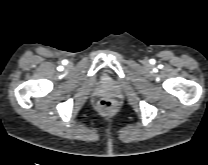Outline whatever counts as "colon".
Masks as SVG:
<instances>
[{
  "label": "colon",
  "instance_id": "1",
  "mask_svg": "<svg viewBox=\"0 0 208 165\" xmlns=\"http://www.w3.org/2000/svg\"><path fill=\"white\" fill-rule=\"evenodd\" d=\"M97 106L99 111L103 114H109L115 109V104L110 99H101L98 101Z\"/></svg>",
  "mask_w": 208,
  "mask_h": 165
}]
</instances>
